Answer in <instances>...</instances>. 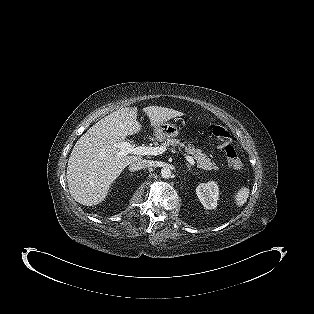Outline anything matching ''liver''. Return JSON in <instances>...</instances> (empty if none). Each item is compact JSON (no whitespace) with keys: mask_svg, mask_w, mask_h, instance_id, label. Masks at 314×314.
Listing matches in <instances>:
<instances>
[{"mask_svg":"<svg viewBox=\"0 0 314 314\" xmlns=\"http://www.w3.org/2000/svg\"><path fill=\"white\" fill-rule=\"evenodd\" d=\"M150 126L183 116L182 112L159 106L143 108ZM141 129L136 108H122L94 124L76 142L67 166V182L71 196L78 203L93 206L107 196L112 183L126 166L142 159L139 155L118 156L114 147Z\"/></svg>","mask_w":314,"mask_h":314,"instance_id":"6515ba94","label":"liver"}]
</instances>
